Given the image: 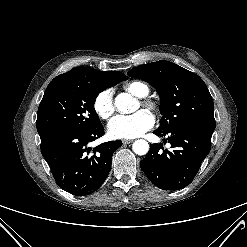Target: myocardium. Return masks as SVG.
Masks as SVG:
<instances>
[{
    "label": "myocardium",
    "mask_w": 247,
    "mask_h": 247,
    "mask_svg": "<svg viewBox=\"0 0 247 247\" xmlns=\"http://www.w3.org/2000/svg\"><path fill=\"white\" fill-rule=\"evenodd\" d=\"M141 104L144 107H146L148 110L153 111V112L157 111V109H158V104L155 101L151 100V99H144L141 102Z\"/></svg>",
    "instance_id": "f54148a6"
}]
</instances>
